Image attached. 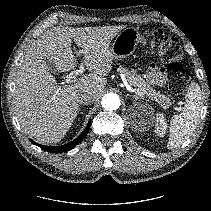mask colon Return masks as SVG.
Listing matches in <instances>:
<instances>
[{"mask_svg": "<svg viewBox=\"0 0 211 211\" xmlns=\"http://www.w3.org/2000/svg\"><path fill=\"white\" fill-rule=\"evenodd\" d=\"M150 37L152 50L168 64L166 77L170 90L180 94L189 83L190 74L179 64L183 59L179 42L161 30L152 31Z\"/></svg>", "mask_w": 211, "mask_h": 211, "instance_id": "5ec220e1", "label": "colon"}]
</instances>
